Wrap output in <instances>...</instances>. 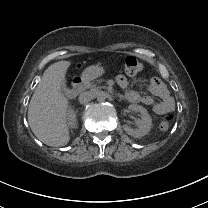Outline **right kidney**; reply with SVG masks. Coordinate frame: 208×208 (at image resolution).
Wrapping results in <instances>:
<instances>
[{"label":"right kidney","mask_w":208,"mask_h":208,"mask_svg":"<svg viewBox=\"0 0 208 208\" xmlns=\"http://www.w3.org/2000/svg\"><path fill=\"white\" fill-rule=\"evenodd\" d=\"M66 119H67V125L70 128H75V126H76V113L71 107H69L67 109Z\"/></svg>","instance_id":"obj_1"}]
</instances>
